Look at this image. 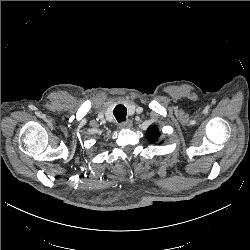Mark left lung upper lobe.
I'll list each match as a JSON object with an SVG mask.
<instances>
[{
    "instance_id": "obj_1",
    "label": "left lung upper lobe",
    "mask_w": 250,
    "mask_h": 250,
    "mask_svg": "<svg viewBox=\"0 0 250 250\" xmlns=\"http://www.w3.org/2000/svg\"><path fill=\"white\" fill-rule=\"evenodd\" d=\"M146 137L150 143H156L158 142L160 138V133L158 131L157 126H150L146 131Z\"/></svg>"
}]
</instances>
